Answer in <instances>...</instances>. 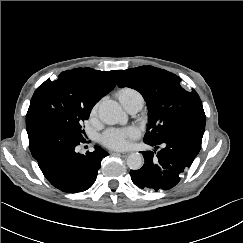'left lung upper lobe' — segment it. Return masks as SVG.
<instances>
[{"instance_id":"obj_1","label":"left lung upper lobe","mask_w":243,"mask_h":243,"mask_svg":"<svg viewBox=\"0 0 243 243\" xmlns=\"http://www.w3.org/2000/svg\"><path fill=\"white\" fill-rule=\"evenodd\" d=\"M118 86L137 90L147 103L149 124L144 142L156 143L180 122L205 117L197 92L186 91L178 76L163 69L141 66L124 70Z\"/></svg>"}]
</instances>
